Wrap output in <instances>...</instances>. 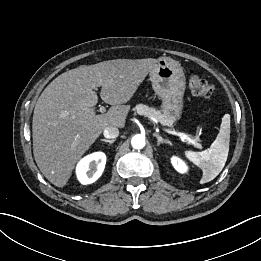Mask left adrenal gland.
Returning a JSON list of instances; mask_svg holds the SVG:
<instances>
[{"label":"left adrenal gland","mask_w":261,"mask_h":261,"mask_svg":"<svg viewBox=\"0 0 261 261\" xmlns=\"http://www.w3.org/2000/svg\"><path fill=\"white\" fill-rule=\"evenodd\" d=\"M153 136H155L157 138V145L159 146L160 144H169V145H172V143L167 140V139H163L159 134L157 133H154Z\"/></svg>","instance_id":"1"}]
</instances>
